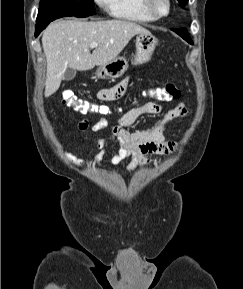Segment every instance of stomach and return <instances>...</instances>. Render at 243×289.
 <instances>
[{"instance_id": "stomach-1", "label": "stomach", "mask_w": 243, "mask_h": 289, "mask_svg": "<svg viewBox=\"0 0 243 289\" xmlns=\"http://www.w3.org/2000/svg\"><path fill=\"white\" fill-rule=\"evenodd\" d=\"M158 44V39L149 31L139 33L136 37V53L132 63L140 65L148 62ZM128 69V62L125 57H116L110 62L101 65L96 71V75L103 79H114L122 76Z\"/></svg>"}]
</instances>
